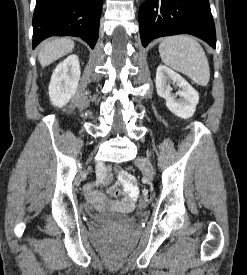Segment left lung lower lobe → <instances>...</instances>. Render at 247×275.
<instances>
[{"label": "left lung lower lobe", "instance_id": "left-lung-lower-lobe-1", "mask_svg": "<svg viewBox=\"0 0 247 275\" xmlns=\"http://www.w3.org/2000/svg\"><path fill=\"white\" fill-rule=\"evenodd\" d=\"M144 47L158 37L190 34L216 47L215 25L208 0H147L139 9Z\"/></svg>", "mask_w": 247, "mask_h": 275}]
</instances>
